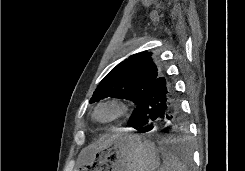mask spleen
<instances>
[{
	"instance_id": "spleen-1",
	"label": "spleen",
	"mask_w": 245,
	"mask_h": 171,
	"mask_svg": "<svg viewBox=\"0 0 245 171\" xmlns=\"http://www.w3.org/2000/svg\"><path fill=\"white\" fill-rule=\"evenodd\" d=\"M163 166L159 171H188L187 167L170 151L161 149Z\"/></svg>"
}]
</instances>
